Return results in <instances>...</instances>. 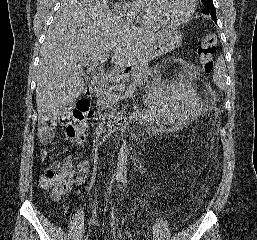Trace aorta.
Returning a JSON list of instances; mask_svg holds the SVG:
<instances>
[{"label": "aorta", "mask_w": 257, "mask_h": 240, "mask_svg": "<svg viewBox=\"0 0 257 240\" xmlns=\"http://www.w3.org/2000/svg\"><path fill=\"white\" fill-rule=\"evenodd\" d=\"M127 161H128V148H127V142L124 141L122 144L120 151L118 153V159H117V179L121 181L126 180L127 176Z\"/></svg>", "instance_id": "1"}]
</instances>
